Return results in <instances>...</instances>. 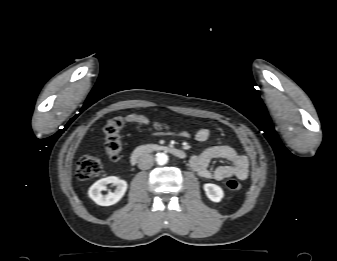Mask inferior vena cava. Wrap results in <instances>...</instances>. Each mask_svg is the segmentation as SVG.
Instances as JSON below:
<instances>
[{
	"instance_id": "1",
	"label": "inferior vena cava",
	"mask_w": 337,
	"mask_h": 261,
	"mask_svg": "<svg viewBox=\"0 0 337 261\" xmlns=\"http://www.w3.org/2000/svg\"><path fill=\"white\" fill-rule=\"evenodd\" d=\"M153 162V156L151 154H143L138 159V167L142 170H147L153 166Z\"/></svg>"
}]
</instances>
